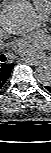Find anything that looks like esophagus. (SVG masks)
Returning a JSON list of instances; mask_svg holds the SVG:
<instances>
[{"instance_id": "34e87169", "label": "esophagus", "mask_w": 51, "mask_h": 153, "mask_svg": "<svg viewBox=\"0 0 51 153\" xmlns=\"http://www.w3.org/2000/svg\"><path fill=\"white\" fill-rule=\"evenodd\" d=\"M24 62L28 65H32V66H38V62L35 61H31V60H24Z\"/></svg>"}]
</instances>
